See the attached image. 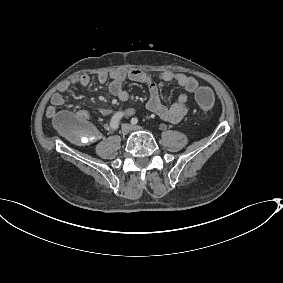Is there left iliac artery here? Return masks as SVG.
<instances>
[{
    "label": "left iliac artery",
    "instance_id": "44dca946",
    "mask_svg": "<svg viewBox=\"0 0 283 283\" xmlns=\"http://www.w3.org/2000/svg\"><path fill=\"white\" fill-rule=\"evenodd\" d=\"M138 123V119L137 118H132L131 119V124L135 125Z\"/></svg>",
    "mask_w": 283,
    "mask_h": 283
}]
</instances>
